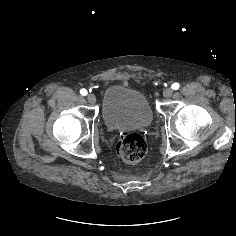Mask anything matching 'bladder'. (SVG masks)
Returning a JSON list of instances; mask_svg holds the SVG:
<instances>
[{"label":"bladder","instance_id":"1","mask_svg":"<svg viewBox=\"0 0 236 236\" xmlns=\"http://www.w3.org/2000/svg\"><path fill=\"white\" fill-rule=\"evenodd\" d=\"M102 116L105 125L112 130L140 128L152 122L153 109L142 91L125 85H112L103 93Z\"/></svg>","mask_w":236,"mask_h":236}]
</instances>
